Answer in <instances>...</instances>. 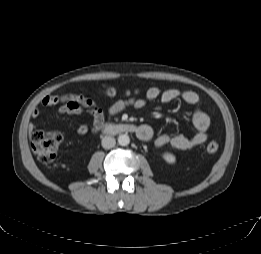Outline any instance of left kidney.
I'll return each mask as SVG.
<instances>
[{"label": "left kidney", "mask_w": 261, "mask_h": 254, "mask_svg": "<svg viewBox=\"0 0 261 254\" xmlns=\"http://www.w3.org/2000/svg\"><path fill=\"white\" fill-rule=\"evenodd\" d=\"M163 158L166 162H168L170 164H174L176 162L175 156L173 154H170V153H164Z\"/></svg>", "instance_id": "obj_1"}]
</instances>
